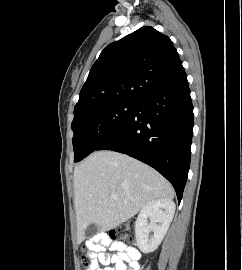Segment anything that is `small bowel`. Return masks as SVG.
<instances>
[{
  "mask_svg": "<svg viewBox=\"0 0 242 270\" xmlns=\"http://www.w3.org/2000/svg\"><path fill=\"white\" fill-rule=\"evenodd\" d=\"M107 246L115 253H104ZM88 248L94 255L88 270H139L138 260L141 254L135 247L113 242L102 234L95 236L89 242Z\"/></svg>",
  "mask_w": 242,
  "mask_h": 270,
  "instance_id": "1",
  "label": "small bowel"
}]
</instances>
